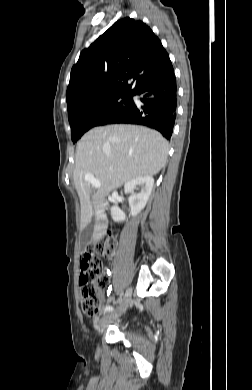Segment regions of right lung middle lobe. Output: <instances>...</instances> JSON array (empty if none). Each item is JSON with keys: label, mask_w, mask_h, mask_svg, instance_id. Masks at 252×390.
Masks as SVG:
<instances>
[{"label": "right lung middle lobe", "mask_w": 252, "mask_h": 390, "mask_svg": "<svg viewBox=\"0 0 252 390\" xmlns=\"http://www.w3.org/2000/svg\"><path fill=\"white\" fill-rule=\"evenodd\" d=\"M133 95L118 94L79 105L68 112L72 141L77 142L90 128L104 125L129 109Z\"/></svg>", "instance_id": "1"}]
</instances>
